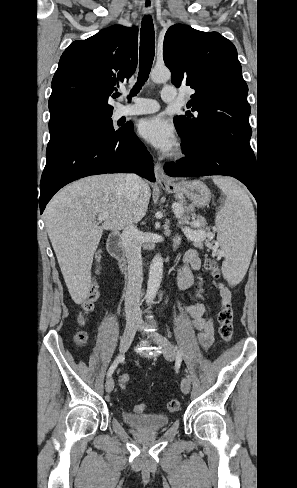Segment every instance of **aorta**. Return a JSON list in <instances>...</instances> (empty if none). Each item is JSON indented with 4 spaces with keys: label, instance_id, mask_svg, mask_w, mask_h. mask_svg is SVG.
<instances>
[{
    "label": "aorta",
    "instance_id": "aorta-1",
    "mask_svg": "<svg viewBox=\"0 0 297 488\" xmlns=\"http://www.w3.org/2000/svg\"><path fill=\"white\" fill-rule=\"evenodd\" d=\"M150 77L155 83H163L171 78V72L166 67H154L150 73ZM163 275V259L159 254H156L151 262L149 270V279L146 290V302L151 303L158 292Z\"/></svg>",
    "mask_w": 297,
    "mask_h": 488
}]
</instances>
